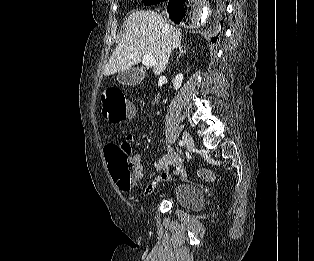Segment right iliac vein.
Masks as SVG:
<instances>
[{"label": "right iliac vein", "instance_id": "right-iliac-vein-1", "mask_svg": "<svg viewBox=\"0 0 314 261\" xmlns=\"http://www.w3.org/2000/svg\"><path fill=\"white\" fill-rule=\"evenodd\" d=\"M183 141L189 150H191L193 148L194 140H193L192 136L187 131L183 132Z\"/></svg>", "mask_w": 314, "mask_h": 261}]
</instances>
